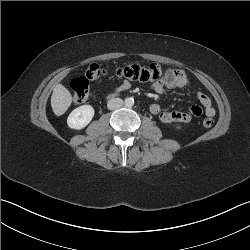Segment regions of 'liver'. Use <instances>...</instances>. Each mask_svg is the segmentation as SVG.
<instances>
[{
  "instance_id": "obj_1",
  "label": "liver",
  "mask_w": 250,
  "mask_h": 250,
  "mask_svg": "<svg viewBox=\"0 0 250 250\" xmlns=\"http://www.w3.org/2000/svg\"><path fill=\"white\" fill-rule=\"evenodd\" d=\"M72 103L70 91L62 84H57L51 96V107L56 116L63 115Z\"/></svg>"
}]
</instances>
